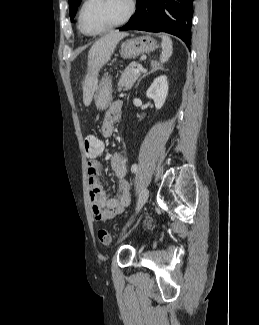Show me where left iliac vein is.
I'll use <instances>...</instances> for the list:
<instances>
[{"label":"left iliac vein","mask_w":259,"mask_h":325,"mask_svg":"<svg viewBox=\"0 0 259 325\" xmlns=\"http://www.w3.org/2000/svg\"><path fill=\"white\" fill-rule=\"evenodd\" d=\"M148 196H149L148 190L146 188H143L137 201L136 213L139 212L143 207V205L146 203Z\"/></svg>","instance_id":"left-iliac-vein-1"}]
</instances>
